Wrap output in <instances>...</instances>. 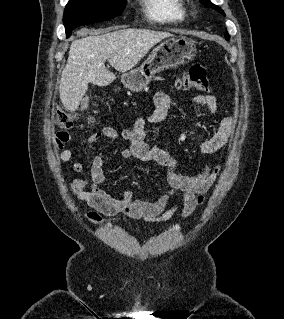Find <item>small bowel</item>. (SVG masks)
Wrapping results in <instances>:
<instances>
[{
	"mask_svg": "<svg viewBox=\"0 0 284 319\" xmlns=\"http://www.w3.org/2000/svg\"><path fill=\"white\" fill-rule=\"evenodd\" d=\"M171 104L170 96L165 92H158L154 97V109L147 120L158 123L166 118ZM192 106L196 110L211 113L218 111V101L211 96L194 98ZM146 119L138 118L131 129H125L119 134L114 128L104 126L93 135L90 143L97 142L102 137L117 139L119 136L128 143L122 151L124 158L139 161H153L165 170V177L169 190L155 201L135 199L130 191L124 190L120 198L113 197L103 188L105 159L96 156L91 162L88 176H82L69 184L71 192L77 200L84 201L93 211L85 213V219L95 226H103L118 214H124L132 219H143L146 222L159 223L170 220L181 208V218L189 217L205 200V194L215 182L219 167H212L210 156L221 151L228 144L234 129L235 121L231 117H223L216 131L203 140L199 147L205 156L201 171L195 175H188L177 169L176 160L158 148H151L145 141ZM70 135L67 131H60L54 139L55 149L58 151L60 162H68L72 156V149L65 147ZM75 172L82 174L83 164L73 165ZM179 194L177 203L169 206L170 198ZM103 216L108 217L106 220Z\"/></svg>",
	"mask_w": 284,
	"mask_h": 319,
	"instance_id": "obj_1",
	"label": "small bowel"
}]
</instances>
